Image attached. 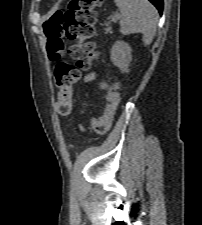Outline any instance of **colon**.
Instances as JSON below:
<instances>
[{
  "label": "colon",
  "instance_id": "colon-1",
  "mask_svg": "<svg viewBox=\"0 0 202 225\" xmlns=\"http://www.w3.org/2000/svg\"><path fill=\"white\" fill-rule=\"evenodd\" d=\"M101 0H72L63 9L56 11L44 23L47 38V52L51 61L56 62L54 79L59 91L57 112L67 116L73 108V84L78 68L72 61L63 60L65 39L76 41L69 53L73 60L86 62L99 58L95 44L90 39L95 35V11ZM106 108L100 117H92L90 124L98 135L110 130L115 111L121 100V91L114 83L105 85Z\"/></svg>",
  "mask_w": 202,
  "mask_h": 225
}]
</instances>
